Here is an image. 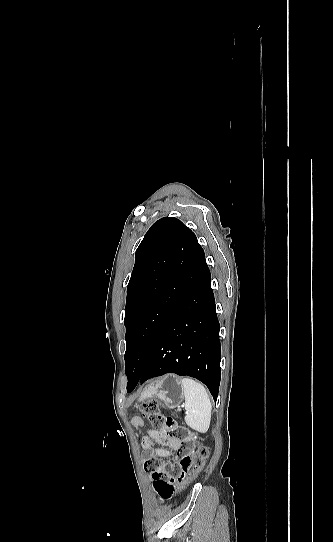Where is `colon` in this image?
Returning <instances> with one entry per match:
<instances>
[{"label":"colon","instance_id":"5ec220e1","mask_svg":"<svg viewBox=\"0 0 333 542\" xmlns=\"http://www.w3.org/2000/svg\"><path fill=\"white\" fill-rule=\"evenodd\" d=\"M157 400H148L140 406L143 417L156 429L163 433L164 439L181 443L185 453L176 452L179 458V469L175 470L166 459L149 458L144 465L145 471L155 478L153 489L161 500L170 499L176 487L182 489L189 481V472L197 473L204 465L208 448L201 444L196 432L190 427L176 422L172 415H164ZM173 421V422H172Z\"/></svg>","mask_w":333,"mask_h":542}]
</instances>
